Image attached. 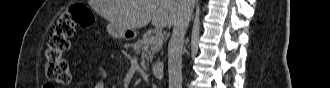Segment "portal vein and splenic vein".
<instances>
[{
  "label": "portal vein and splenic vein",
  "instance_id": "18ae733b",
  "mask_svg": "<svg viewBox=\"0 0 330 88\" xmlns=\"http://www.w3.org/2000/svg\"><path fill=\"white\" fill-rule=\"evenodd\" d=\"M163 39H164V34L162 33L161 30H158L155 34V43L162 44Z\"/></svg>",
  "mask_w": 330,
  "mask_h": 88
}]
</instances>
